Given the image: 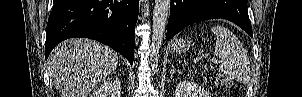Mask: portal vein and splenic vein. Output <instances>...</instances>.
Returning <instances> with one entry per match:
<instances>
[{
	"label": "portal vein and splenic vein",
	"mask_w": 302,
	"mask_h": 97,
	"mask_svg": "<svg viewBox=\"0 0 302 97\" xmlns=\"http://www.w3.org/2000/svg\"><path fill=\"white\" fill-rule=\"evenodd\" d=\"M210 61H212V62L215 63V64H219V63H220V61L217 60V59H210Z\"/></svg>",
	"instance_id": "portal-vein-and-splenic-vein-1"
}]
</instances>
